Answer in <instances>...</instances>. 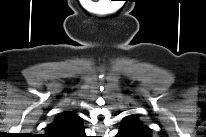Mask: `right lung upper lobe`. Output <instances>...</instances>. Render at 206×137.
Returning <instances> with one entry per match:
<instances>
[{"label":"right lung upper lobe","instance_id":"1","mask_svg":"<svg viewBox=\"0 0 206 137\" xmlns=\"http://www.w3.org/2000/svg\"><path fill=\"white\" fill-rule=\"evenodd\" d=\"M45 130L48 137H83L85 134L81 118L70 111L58 114Z\"/></svg>","mask_w":206,"mask_h":137}]
</instances>
